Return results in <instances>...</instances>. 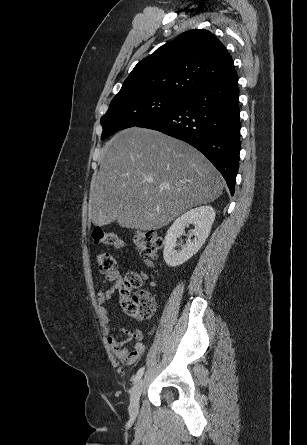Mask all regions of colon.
<instances>
[{"instance_id":"1","label":"colon","mask_w":307,"mask_h":445,"mask_svg":"<svg viewBox=\"0 0 307 445\" xmlns=\"http://www.w3.org/2000/svg\"><path fill=\"white\" fill-rule=\"evenodd\" d=\"M92 238L95 243H103L116 249L124 246L123 240L116 233L100 227L93 230ZM134 244L141 258L146 263H151L158 255L162 239L156 232L138 230L134 234ZM97 263L99 270L103 273L114 271L117 268L115 258L107 252L98 253ZM143 279L144 276L138 272H128L119 287L122 296V309L137 320L148 319L155 311L154 300L148 292L139 290L131 293L133 289L141 286Z\"/></svg>"}]
</instances>
